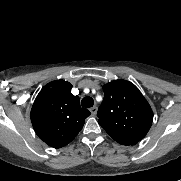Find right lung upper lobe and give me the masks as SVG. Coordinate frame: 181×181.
Listing matches in <instances>:
<instances>
[{
	"label": "right lung upper lobe",
	"instance_id": "right-lung-upper-lobe-1",
	"mask_svg": "<svg viewBox=\"0 0 181 181\" xmlns=\"http://www.w3.org/2000/svg\"><path fill=\"white\" fill-rule=\"evenodd\" d=\"M72 85L64 80L46 84L31 109V122L37 136L47 145L61 148L69 144L82 129L90 112L80 107Z\"/></svg>",
	"mask_w": 181,
	"mask_h": 181
}]
</instances>
